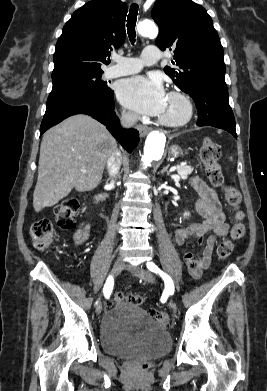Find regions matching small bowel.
<instances>
[{
	"mask_svg": "<svg viewBox=\"0 0 267 391\" xmlns=\"http://www.w3.org/2000/svg\"><path fill=\"white\" fill-rule=\"evenodd\" d=\"M192 186L199 196L195 209L203 218V221L186 228L176 229L174 240L178 246H182L188 241L196 240L202 247L199 257H195L191 252L186 253L184 256L190 274L194 278H198L203 270L208 267L217 240L227 235L229 225L225 221L222 205L214 189L197 177L192 180ZM89 236V225L86 223L81 224L72 236L74 246L83 245L89 239Z\"/></svg>",
	"mask_w": 267,
	"mask_h": 391,
	"instance_id": "c3829d8e",
	"label": "small bowel"
}]
</instances>
